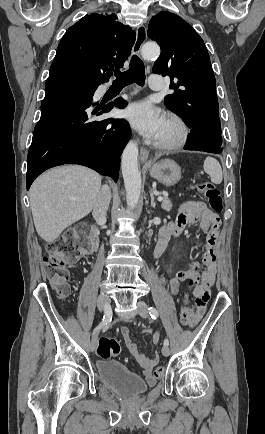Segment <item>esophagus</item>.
Here are the masks:
<instances>
[{
    "mask_svg": "<svg viewBox=\"0 0 265 434\" xmlns=\"http://www.w3.org/2000/svg\"><path fill=\"white\" fill-rule=\"evenodd\" d=\"M147 39V29L144 25H138L136 28V40L132 48L133 55H139L142 45ZM149 151L145 147L140 149V160L142 163L147 162Z\"/></svg>",
    "mask_w": 265,
    "mask_h": 434,
    "instance_id": "34e87169",
    "label": "esophagus"
}]
</instances>
